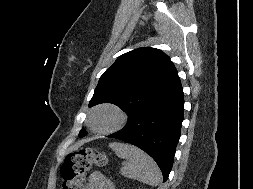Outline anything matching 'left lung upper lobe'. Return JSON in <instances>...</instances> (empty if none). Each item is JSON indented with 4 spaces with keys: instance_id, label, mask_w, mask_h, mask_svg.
Returning <instances> with one entry per match:
<instances>
[{
    "instance_id": "1",
    "label": "left lung upper lobe",
    "mask_w": 253,
    "mask_h": 189,
    "mask_svg": "<svg viewBox=\"0 0 253 189\" xmlns=\"http://www.w3.org/2000/svg\"><path fill=\"white\" fill-rule=\"evenodd\" d=\"M179 79L170 58L156 48H138L115 61L100 77L89 106L113 103L130 119ZM86 134L81 130L80 135Z\"/></svg>"
}]
</instances>
